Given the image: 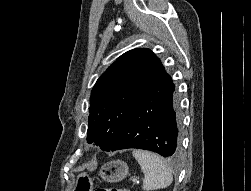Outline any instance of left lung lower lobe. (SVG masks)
<instances>
[{"label": "left lung lower lobe", "mask_w": 251, "mask_h": 191, "mask_svg": "<svg viewBox=\"0 0 251 191\" xmlns=\"http://www.w3.org/2000/svg\"><path fill=\"white\" fill-rule=\"evenodd\" d=\"M175 86L164 71L138 102L109 151L137 148L163 157L180 151L179 111Z\"/></svg>", "instance_id": "obj_1"}]
</instances>
